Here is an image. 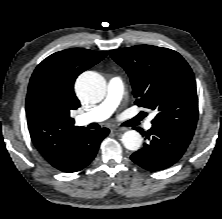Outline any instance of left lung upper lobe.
I'll use <instances>...</instances> for the list:
<instances>
[{"label":"left lung upper lobe","instance_id":"left-lung-upper-lobe-1","mask_svg":"<svg viewBox=\"0 0 222 219\" xmlns=\"http://www.w3.org/2000/svg\"><path fill=\"white\" fill-rule=\"evenodd\" d=\"M128 73L135 104L157 112L152 125L165 126L192 138L198 119L194 74L174 50L137 45L110 51Z\"/></svg>","mask_w":222,"mask_h":219}]
</instances>
